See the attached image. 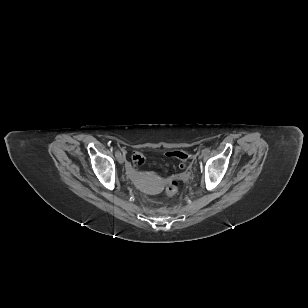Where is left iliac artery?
<instances>
[{
  "mask_svg": "<svg viewBox=\"0 0 308 308\" xmlns=\"http://www.w3.org/2000/svg\"><path fill=\"white\" fill-rule=\"evenodd\" d=\"M204 150H205L207 153L210 152V149H209V148H205Z\"/></svg>",
  "mask_w": 308,
  "mask_h": 308,
  "instance_id": "obj_1",
  "label": "left iliac artery"
}]
</instances>
